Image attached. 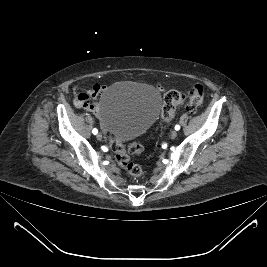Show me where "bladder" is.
Here are the masks:
<instances>
[{"label":"bladder","mask_w":267,"mask_h":267,"mask_svg":"<svg viewBox=\"0 0 267 267\" xmlns=\"http://www.w3.org/2000/svg\"><path fill=\"white\" fill-rule=\"evenodd\" d=\"M161 104L160 94L150 86L120 81L108 87L100 98L102 125L118 141L135 139L156 120Z\"/></svg>","instance_id":"bladder-1"}]
</instances>
